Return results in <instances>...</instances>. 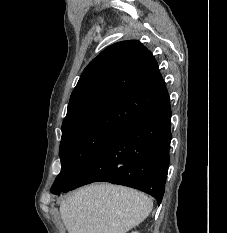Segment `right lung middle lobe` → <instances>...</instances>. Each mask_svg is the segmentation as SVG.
Wrapping results in <instances>:
<instances>
[{"instance_id": "1", "label": "right lung middle lobe", "mask_w": 227, "mask_h": 233, "mask_svg": "<svg viewBox=\"0 0 227 233\" xmlns=\"http://www.w3.org/2000/svg\"><path fill=\"white\" fill-rule=\"evenodd\" d=\"M116 133L111 130L88 128L62 134L61 172L51 187V193L69 186Z\"/></svg>"}]
</instances>
